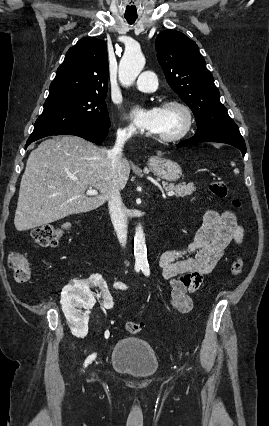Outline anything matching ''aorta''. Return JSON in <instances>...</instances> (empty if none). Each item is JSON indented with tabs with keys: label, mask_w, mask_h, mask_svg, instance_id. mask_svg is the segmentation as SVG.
<instances>
[{
	"label": "aorta",
	"mask_w": 269,
	"mask_h": 426,
	"mask_svg": "<svg viewBox=\"0 0 269 426\" xmlns=\"http://www.w3.org/2000/svg\"><path fill=\"white\" fill-rule=\"evenodd\" d=\"M145 66V58L139 50L126 51L119 64V81L130 86ZM134 255L137 265L147 263V248L142 227H136L134 236Z\"/></svg>",
	"instance_id": "762f6f07"
}]
</instances>
